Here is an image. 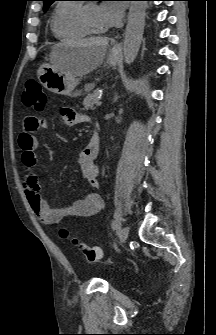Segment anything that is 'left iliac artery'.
Masks as SVG:
<instances>
[{
    "label": "left iliac artery",
    "instance_id": "1",
    "mask_svg": "<svg viewBox=\"0 0 216 335\" xmlns=\"http://www.w3.org/2000/svg\"><path fill=\"white\" fill-rule=\"evenodd\" d=\"M121 227V223L119 222V221H114L113 223H112V229L113 230H117V229H119Z\"/></svg>",
    "mask_w": 216,
    "mask_h": 335
}]
</instances>
